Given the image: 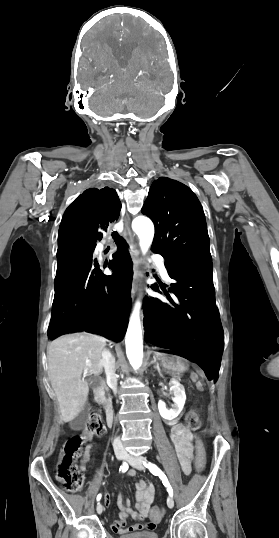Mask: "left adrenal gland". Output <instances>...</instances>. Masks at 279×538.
Segmentation results:
<instances>
[{"label":"left adrenal gland","instance_id":"1","mask_svg":"<svg viewBox=\"0 0 279 538\" xmlns=\"http://www.w3.org/2000/svg\"><path fill=\"white\" fill-rule=\"evenodd\" d=\"M153 364H155L154 368H156L158 374H160V376H162V374H161V370H160V368H159V364H158V362H153Z\"/></svg>","mask_w":279,"mask_h":538}]
</instances>
